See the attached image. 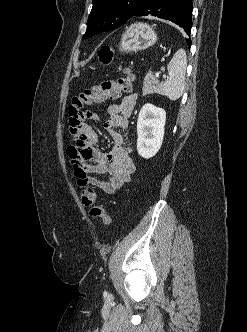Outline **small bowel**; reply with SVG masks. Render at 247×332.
Listing matches in <instances>:
<instances>
[{"label":"small bowel","instance_id":"1","mask_svg":"<svg viewBox=\"0 0 247 332\" xmlns=\"http://www.w3.org/2000/svg\"><path fill=\"white\" fill-rule=\"evenodd\" d=\"M135 104V95H130L118 104L109 105L104 113L85 112L81 127L73 133L74 143L67 150L79 186H95L108 194H115L130 180L136 166L130 157L131 148L125 146L118 129L128 128ZM88 120L104 121L114 143L108 153L95 149L98 136ZM101 175L104 177H99Z\"/></svg>","mask_w":247,"mask_h":332}]
</instances>
